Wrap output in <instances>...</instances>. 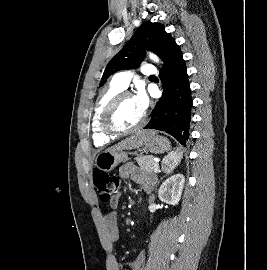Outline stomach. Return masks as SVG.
<instances>
[{
    "label": "stomach",
    "mask_w": 267,
    "mask_h": 270,
    "mask_svg": "<svg viewBox=\"0 0 267 270\" xmlns=\"http://www.w3.org/2000/svg\"><path fill=\"white\" fill-rule=\"evenodd\" d=\"M171 149L169 140L163 136L153 134L150 136L143 145L141 152H151L154 154H162ZM128 160V153L125 150L103 151L100 152L95 158V166L104 171L109 172L113 170L120 163Z\"/></svg>",
    "instance_id": "0dacf381"
}]
</instances>
